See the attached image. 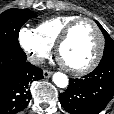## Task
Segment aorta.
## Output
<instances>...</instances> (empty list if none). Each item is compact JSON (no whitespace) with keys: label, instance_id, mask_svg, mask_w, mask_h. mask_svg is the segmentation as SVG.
<instances>
[{"label":"aorta","instance_id":"aorta-1","mask_svg":"<svg viewBox=\"0 0 114 114\" xmlns=\"http://www.w3.org/2000/svg\"><path fill=\"white\" fill-rule=\"evenodd\" d=\"M53 82L57 87L65 88L68 86V77L64 73L57 72L53 75Z\"/></svg>","mask_w":114,"mask_h":114}]
</instances>
